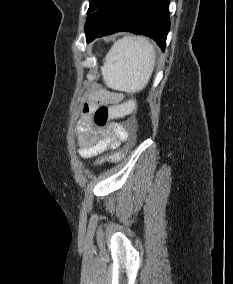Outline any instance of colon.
<instances>
[{
    "instance_id": "obj_1",
    "label": "colon",
    "mask_w": 233,
    "mask_h": 284,
    "mask_svg": "<svg viewBox=\"0 0 233 284\" xmlns=\"http://www.w3.org/2000/svg\"><path fill=\"white\" fill-rule=\"evenodd\" d=\"M137 107V100L130 99L124 103L115 105V106H107L102 105L95 109L93 113V121L95 125L99 128H104L111 119L124 117L132 114ZM135 141V134L130 132L128 137L126 138L125 146L118 152L108 156L105 160L108 161H117L123 158L129 149L132 147Z\"/></svg>"
}]
</instances>
